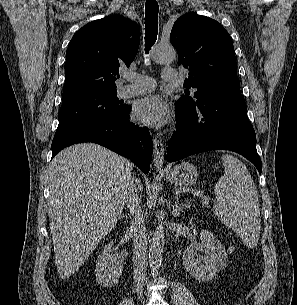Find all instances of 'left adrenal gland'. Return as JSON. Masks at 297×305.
I'll use <instances>...</instances> for the list:
<instances>
[{"label":"left adrenal gland","instance_id":"obj_1","mask_svg":"<svg viewBox=\"0 0 297 305\" xmlns=\"http://www.w3.org/2000/svg\"><path fill=\"white\" fill-rule=\"evenodd\" d=\"M187 207L188 205L186 203H183L182 205L179 206V197L177 196L175 199V204L173 206L172 213L175 217H179L181 212H183V210Z\"/></svg>","mask_w":297,"mask_h":305}]
</instances>
